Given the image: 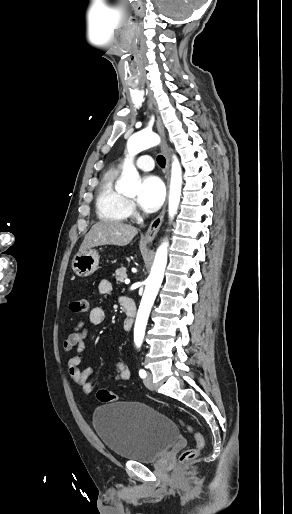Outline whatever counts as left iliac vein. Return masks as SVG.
Returning a JSON list of instances; mask_svg holds the SVG:
<instances>
[{
    "label": "left iliac vein",
    "instance_id": "1",
    "mask_svg": "<svg viewBox=\"0 0 292 514\" xmlns=\"http://www.w3.org/2000/svg\"><path fill=\"white\" fill-rule=\"evenodd\" d=\"M144 385L150 390L154 389L153 378L150 372H148L147 376L144 378Z\"/></svg>",
    "mask_w": 292,
    "mask_h": 514
}]
</instances>
